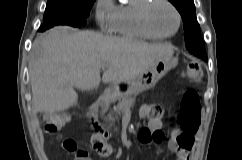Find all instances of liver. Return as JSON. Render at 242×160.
<instances>
[{
  "instance_id": "obj_1",
  "label": "liver",
  "mask_w": 242,
  "mask_h": 160,
  "mask_svg": "<svg viewBox=\"0 0 242 160\" xmlns=\"http://www.w3.org/2000/svg\"><path fill=\"white\" fill-rule=\"evenodd\" d=\"M171 44H149L58 26L35 39L30 80L34 108L54 113L77 103L81 90L132 80L154 62L172 57ZM108 65L102 79L100 68Z\"/></svg>"
}]
</instances>
